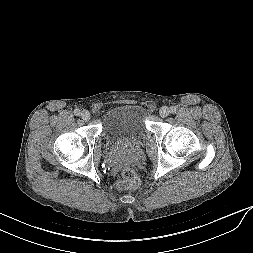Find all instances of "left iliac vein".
Listing matches in <instances>:
<instances>
[{
  "instance_id": "1",
  "label": "left iliac vein",
  "mask_w": 253,
  "mask_h": 253,
  "mask_svg": "<svg viewBox=\"0 0 253 253\" xmlns=\"http://www.w3.org/2000/svg\"><path fill=\"white\" fill-rule=\"evenodd\" d=\"M159 114L162 118H165L170 114V109L167 106H163L161 107Z\"/></svg>"
}]
</instances>
